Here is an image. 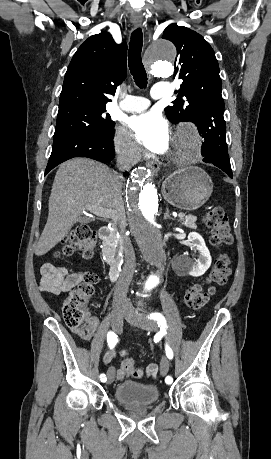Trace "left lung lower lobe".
Instances as JSON below:
<instances>
[{"mask_svg":"<svg viewBox=\"0 0 271 459\" xmlns=\"http://www.w3.org/2000/svg\"><path fill=\"white\" fill-rule=\"evenodd\" d=\"M204 138L202 143L203 161L212 163L233 178L226 143V123L224 118H215L198 125Z\"/></svg>","mask_w":271,"mask_h":459,"instance_id":"obj_1","label":"left lung lower lobe"}]
</instances>
